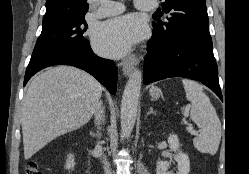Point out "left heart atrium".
Here are the masks:
<instances>
[{
	"label": "left heart atrium",
	"instance_id": "left-heart-atrium-1",
	"mask_svg": "<svg viewBox=\"0 0 249 174\" xmlns=\"http://www.w3.org/2000/svg\"><path fill=\"white\" fill-rule=\"evenodd\" d=\"M144 24L128 15L108 20L100 25L93 37L94 48L102 55L119 58L143 37Z\"/></svg>",
	"mask_w": 249,
	"mask_h": 174
}]
</instances>
